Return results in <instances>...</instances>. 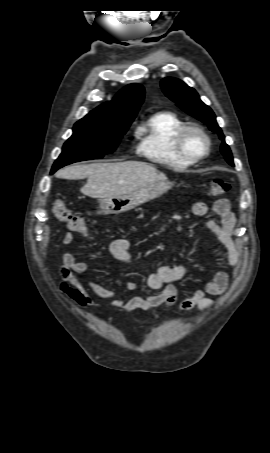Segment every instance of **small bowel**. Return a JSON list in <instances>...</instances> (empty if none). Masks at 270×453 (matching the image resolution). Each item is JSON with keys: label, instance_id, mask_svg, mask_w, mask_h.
Segmentation results:
<instances>
[{"label": "small bowel", "instance_id": "obj_1", "mask_svg": "<svg viewBox=\"0 0 270 453\" xmlns=\"http://www.w3.org/2000/svg\"><path fill=\"white\" fill-rule=\"evenodd\" d=\"M213 211L218 220L207 222V228L212 232L218 241L227 250V263L232 269H236L240 261V246L233 240L232 234L235 227V217L231 211L230 203L227 199H218L213 204ZM208 212V206L204 202H196L192 206V213L197 217H202ZM73 234L67 232L62 237V244L69 246L73 244ZM110 252L123 264L131 262L129 242L124 238L114 239L110 243ZM88 266L85 262L78 261L72 253L63 255V265L60 268L62 277L61 290L71 300L80 307L95 306V302L89 295L87 289L78 278L86 276ZM188 276V270L183 265L162 266L147 276L146 284L150 289L157 290L155 294L147 296H133L126 298L119 295L116 291L109 289L98 282L88 280L89 289L98 297L112 301L111 307L119 310L122 314L136 309L146 311L153 310L159 306L169 310L173 308L178 299V292L173 285L176 282L184 281ZM230 282V274L227 271L219 270L215 272L204 284L202 288L196 289L193 294L182 300L178 304L180 312H187L193 308L202 311L210 309L214 301L209 295H220L227 289ZM135 281H128L125 285L127 293L137 289Z\"/></svg>", "mask_w": 270, "mask_h": 453}]
</instances>
